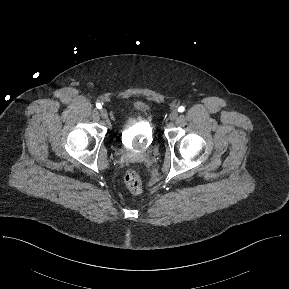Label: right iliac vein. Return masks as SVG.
<instances>
[{"label": "right iliac vein", "mask_w": 289, "mask_h": 289, "mask_svg": "<svg viewBox=\"0 0 289 289\" xmlns=\"http://www.w3.org/2000/svg\"><path fill=\"white\" fill-rule=\"evenodd\" d=\"M101 116L103 119H108V113L106 109L101 110Z\"/></svg>", "instance_id": "obj_1"}]
</instances>
